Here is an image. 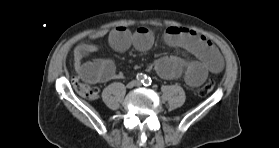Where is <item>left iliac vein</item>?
Returning <instances> with one entry per match:
<instances>
[{"instance_id":"4c4485c4","label":"left iliac vein","mask_w":279,"mask_h":148,"mask_svg":"<svg viewBox=\"0 0 279 148\" xmlns=\"http://www.w3.org/2000/svg\"><path fill=\"white\" fill-rule=\"evenodd\" d=\"M135 85H136V86H140L141 84H140L139 82H136Z\"/></svg>"}]
</instances>
